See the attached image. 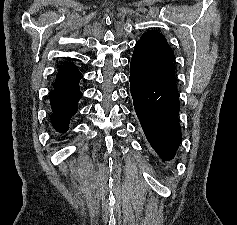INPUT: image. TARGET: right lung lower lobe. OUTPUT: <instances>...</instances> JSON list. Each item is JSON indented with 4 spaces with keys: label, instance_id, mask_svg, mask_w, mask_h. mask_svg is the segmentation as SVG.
Returning a JSON list of instances; mask_svg holds the SVG:
<instances>
[{
    "label": "right lung lower lobe",
    "instance_id": "right-lung-lower-lobe-1",
    "mask_svg": "<svg viewBox=\"0 0 237 225\" xmlns=\"http://www.w3.org/2000/svg\"><path fill=\"white\" fill-rule=\"evenodd\" d=\"M52 108L51 122L60 133L69 129V121L78 110V101L82 97L79 84L73 86L53 85L49 93Z\"/></svg>",
    "mask_w": 237,
    "mask_h": 225
}]
</instances>
